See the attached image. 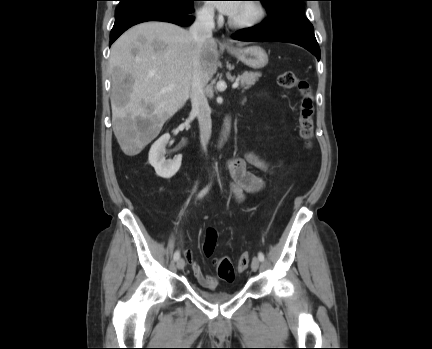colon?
I'll list each match as a JSON object with an SVG mask.
<instances>
[{
  "label": "colon",
  "mask_w": 432,
  "mask_h": 349,
  "mask_svg": "<svg viewBox=\"0 0 432 349\" xmlns=\"http://www.w3.org/2000/svg\"><path fill=\"white\" fill-rule=\"evenodd\" d=\"M278 84L284 89H295L300 93V136L309 147L312 145L314 130V96L310 84L296 76L291 71H285L278 76ZM217 243V233L214 229H208L205 235L203 251L206 256H211ZM250 263L249 253H243L238 262L234 264L228 257L215 259L214 264L220 279L231 282L238 272L244 271Z\"/></svg>",
  "instance_id": "obj_1"
}]
</instances>
